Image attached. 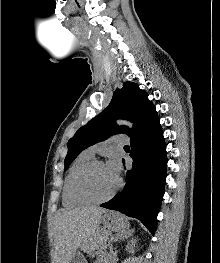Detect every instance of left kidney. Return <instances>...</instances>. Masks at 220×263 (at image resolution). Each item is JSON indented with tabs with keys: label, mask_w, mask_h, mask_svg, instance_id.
I'll return each mask as SVG.
<instances>
[{
	"label": "left kidney",
	"mask_w": 220,
	"mask_h": 263,
	"mask_svg": "<svg viewBox=\"0 0 220 263\" xmlns=\"http://www.w3.org/2000/svg\"><path fill=\"white\" fill-rule=\"evenodd\" d=\"M130 243H131V244H130ZM135 244H136V239H132V240L128 243L126 249L129 251V253H134Z\"/></svg>",
	"instance_id": "left-kidney-1"
}]
</instances>
